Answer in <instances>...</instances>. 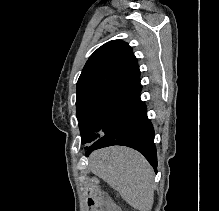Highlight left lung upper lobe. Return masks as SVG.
I'll use <instances>...</instances> for the list:
<instances>
[{
  "label": "left lung upper lobe",
  "mask_w": 219,
  "mask_h": 211,
  "mask_svg": "<svg viewBox=\"0 0 219 211\" xmlns=\"http://www.w3.org/2000/svg\"><path fill=\"white\" fill-rule=\"evenodd\" d=\"M140 70L132 48L121 40L99 47L77 82L76 113L83 143L109 134L140 96Z\"/></svg>",
  "instance_id": "5c2ea615"
}]
</instances>
